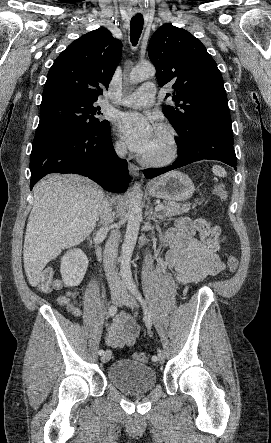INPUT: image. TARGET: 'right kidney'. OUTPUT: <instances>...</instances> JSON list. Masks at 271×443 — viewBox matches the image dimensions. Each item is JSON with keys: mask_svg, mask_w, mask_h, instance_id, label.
Instances as JSON below:
<instances>
[{"mask_svg": "<svg viewBox=\"0 0 271 443\" xmlns=\"http://www.w3.org/2000/svg\"><path fill=\"white\" fill-rule=\"evenodd\" d=\"M87 267L88 257L82 249H79V247L68 249L65 255L61 257L60 271L62 281H64L68 287L79 285L86 273Z\"/></svg>", "mask_w": 271, "mask_h": 443, "instance_id": "ca27d5eb", "label": "right kidney"}]
</instances>
